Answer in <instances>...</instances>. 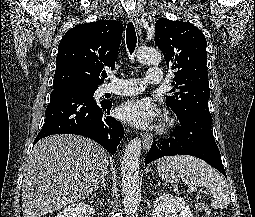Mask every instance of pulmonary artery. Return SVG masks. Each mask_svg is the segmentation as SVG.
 <instances>
[{
    "label": "pulmonary artery",
    "mask_w": 255,
    "mask_h": 217,
    "mask_svg": "<svg viewBox=\"0 0 255 217\" xmlns=\"http://www.w3.org/2000/svg\"><path fill=\"white\" fill-rule=\"evenodd\" d=\"M110 79L114 82L120 83L122 85L114 86L107 85L105 87V92L115 94V95H137L144 91L146 83L157 84L161 83L163 80V73L160 68L154 67L150 68L145 78H127L122 79L115 76H110Z\"/></svg>",
    "instance_id": "obj_1"
}]
</instances>
